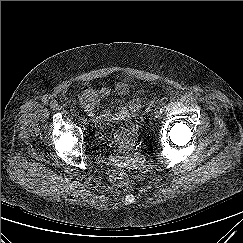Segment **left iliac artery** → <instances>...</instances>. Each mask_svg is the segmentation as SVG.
<instances>
[{
  "mask_svg": "<svg viewBox=\"0 0 243 243\" xmlns=\"http://www.w3.org/2000/svg\"><path fill=\"white\" fill-rule=\"evenodd\" d=\"M165 107L160 108V112L163 113Z\"/></svg>",
  "mask_w": 243,
  "mask_h": 243,
  "instance_id": "left-iliac-artery-1",
  "label": "left iliac artery"
}]
</instances>
